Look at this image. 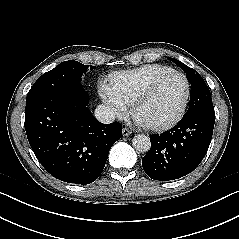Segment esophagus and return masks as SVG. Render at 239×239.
Masks as SVG:
<instances>
[{
    "label": "esophagus",
    "mask_w": 239,
    "mask_h": 239,
    "mask_svg": "<svg viewBox=\"0 0 239 239\" xmlns=\"http://www.w3.org/2000/svg\"><path fill=\"white\" fill-rule=\"evenodd\" d=\"M122 133H123V136H129L132 132L130 131V129H128V128H123V130H122Z\"/></svg>",
    "instance_id": "34e87169"
}]
</instances>
